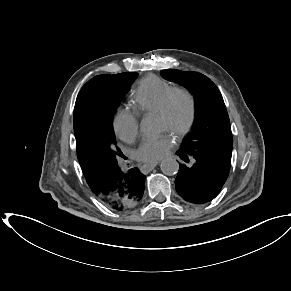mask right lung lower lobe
I'll return each instance as SVG.
<instances>
[{
  "label": "right lung lower lobe",
  "mask_w": 291,
  "mask_h": 291,
  "mask_svg": "<svg viewBox=\"0 0 291 291\" xmlns=\"http://www.w3.org/2000/svg\"><path fill=\"white\" fill-rule=\"evenodd\" d=\"M98 178L105 188L98 197L116 211L129 210L142 199L145 176L136 167L124 173L117 163L101 165Z\"/></svg>",
  "instance_id": "1"
}]
</instances>
